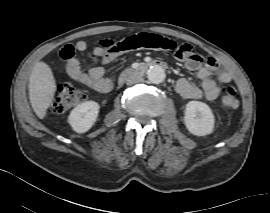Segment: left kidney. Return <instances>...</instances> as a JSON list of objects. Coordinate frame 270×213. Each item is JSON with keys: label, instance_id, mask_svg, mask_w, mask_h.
<instances>
[{"label": "left kidney", "instance_id": "obj_1", "mask_svg": "<svg viewBox=\"0 0 270 213\" xmlns=\"http://www.w3.org/2000/svg\"><path fill=\"white\" fill-rule=\"evenodd\" d=\"M184 123L193 135L205 136L213 132L214 114L207 104L200 101H190L186 104Z\"/></svg>", "mask_w": 270, "mask_h": 213}]
</instances>
